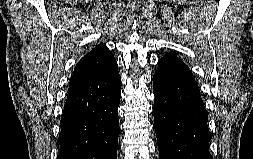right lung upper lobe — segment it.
<instances>
[{"mask_svg":"<svg viewBox=\"0 0 253 159\" xmlns=\"http://www.w3.org/2000/svg\"><path fill=\"white\" fill-rule=\"evenodd\" d=\"M114 63L111 51L102 43L97 45L75 66L69 88L104 72Z\"/></svg>","mask_w":253,"mask_h":159,"instance_id":"1","label":"right lung upper lobe"}]
</instances>
